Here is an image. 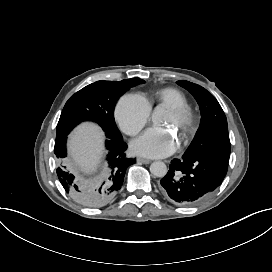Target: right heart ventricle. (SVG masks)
<instances>
[{"label": "right heart ventricle", "mask_w": 272, "mask_h": 272, "mask_svg": "<svg viewBox=\"0 0 272 272\" xmlns=\"http://www.w3.org/2000/svg\"><path fill=\"white\" fill-rule=\"evenodd\" d=\"M155 99L170 106H186L187 102L182 93L173 88L163 89L155 94Z\"/></svg>", "instance_id": "right-heart-ventricle-1"}]
</instances>
